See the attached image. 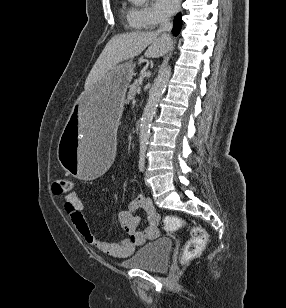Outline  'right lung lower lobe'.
Segmentation results:
<instances>
[{
	"instance_id": "98d812e1",
	"label": "right lung lower lobe",
	"mask_w": 286,
	"mask_h": 308,
	"mask_svg": "<svg viewBox=\"0 0 286 308\" xmlns=\"http://www.w3.org/2000/svg\"><path fill=\"white\" fill-rule=\"evenodd\" d=\"M182 20L181 14H178L174 18V27H173V34L178 35L181 30Z\"/></svg>"
}]
</instances>
